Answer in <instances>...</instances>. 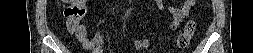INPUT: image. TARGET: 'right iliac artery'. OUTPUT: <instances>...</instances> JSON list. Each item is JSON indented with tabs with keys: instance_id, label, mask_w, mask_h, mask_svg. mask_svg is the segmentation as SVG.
<instances>
[{
	"instance_id": "obj_1",
	"label": "right iliac artery",
	"mask_w": 253,
	"mask_h": 53,
	"mask_svg": "<svg viewBox=\"0 0 253 53\" xmlns=\"http://www.w3.org/2000/svg\"><path fill=\"white\" fill-rule=\"evenodd\" d=\"M130 10H131V9H129V10L127 11V13L125 14V16H124V17H127V16L129 15Z\"/></svg>"
}]
</instances>
